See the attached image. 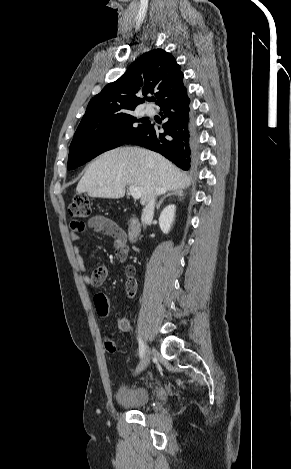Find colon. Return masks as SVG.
Listing matches in <instances>:
<instances>
[{"instance_id": "obj_1", "label": "colon", "mask_w": 291, "mask_h": 469, "mask_svg": "<svg viewBox=\"0 0 291 469\" xmlns=\"http://www.w3.org/2000/svg\"><path fill=\"white\" fill-rule=\"evenodd\" d=\"M69 214L72 217L78 218V219H86L90 216L91 214V205L88 197L84 194H77L74 198L72 203L69 206ZM127 253V249H121L117 253V258L118 259H123L124 256ZM124 273L125 277L127 279V283L130 287V290L133 292L135 289V282H134V274H135V269L131 265H126L124 268ZM92 303L96 306L95 310L100 314V317L103 320H106L109 317V312L112 310V307L110 306L111 303V298L109 293H103L101 290H98L95 293V296L92 298ZM104 346L105 349L109 353H114L116 351V346L113 340L105 336L104 337Z\"/></svg>"}]
</instances>
